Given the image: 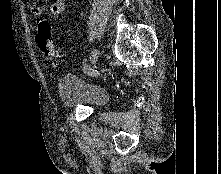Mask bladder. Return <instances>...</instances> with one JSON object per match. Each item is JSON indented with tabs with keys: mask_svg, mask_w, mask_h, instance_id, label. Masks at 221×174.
<instances>
[{
	"mask_svg": "<svg viewBox=\"0 0 221 174\" xmlns=\"http://www.w3.org/2000/svg\"><path fill=\"white\" fill-rule=\"evenodd\" d=\"M58 96L62 104L69 108H99L108 101V94L103 88L73 74L59 79Z\"/></svg>",
	"mask_w": 221,
	"mask_h": 174,
	"instance_id": "bladder-1",
	"label": "bladder"
}]
</instances>
